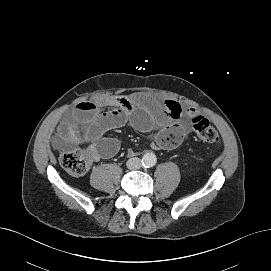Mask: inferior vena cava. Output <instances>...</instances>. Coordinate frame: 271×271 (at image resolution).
<instances>
[{
	"mask_svg": "<svg viewBox=\"0 0 271 271\" xmlns=\"http://www.w3.org/2000/svg\"><path fill=\"white\" fill-rule=\"evenodd\" d=\"M127 168L130 170H136L141 168V160L138 157L130 158L127 163Z\"/></svg>",
	"mask_w": 271,
	"mask_h": 271,
	"instance_id": "602c4592",
	"label": "inferior vena cava"
}]
</instances>
